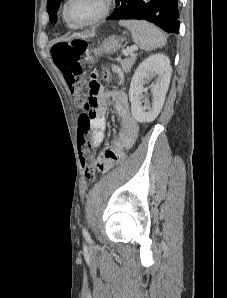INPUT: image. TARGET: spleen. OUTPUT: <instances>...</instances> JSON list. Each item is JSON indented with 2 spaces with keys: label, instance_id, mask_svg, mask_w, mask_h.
<instances>
[{
  "label": "spleen",
  "instance_id": "1",
  "mask_svg": "<svg viewBox=\"0 0 227 298\" xmlns=\"http://www.w3.org/2000/svg\"><path fill=\"white\" fill-rule=\"evenodd\" d=\"M119 25L126 27L132 34V39L141 50L150 51L166 45L167 38L154 25L146 21L121 20Z\"/></svg>",
  "mask_w": 227,
  "mask_h": 298
}]
</instances>
